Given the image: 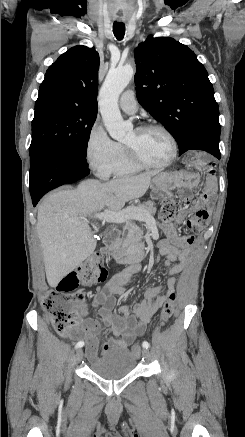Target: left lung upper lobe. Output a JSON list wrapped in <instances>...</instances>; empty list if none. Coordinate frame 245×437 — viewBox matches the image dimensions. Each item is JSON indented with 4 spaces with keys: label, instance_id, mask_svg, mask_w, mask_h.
I'll return each mask as SVG.
<instances>
[{
    "label": "left lung upper lobe",
    "instance_id": "obj_1",
    "mask_svg": "<svg viewBox=\"0 0 245 437\" xmlns=\"http://www.w3.org/2000/svg\"><path fill=\"white\" fill-rule=\"evenodd\" d=\"M134 56L138 102L175 138L180 155L198 140L219 142L213 86L194 52L172 38L149 36Z\"/></svg>",
    "mask_w": 245,
    "mask_h": 437
}]
</instances>
